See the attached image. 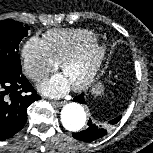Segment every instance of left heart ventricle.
<instances>
[{"mask_svg": "<svg viewBox=\"0 0 153 153\" xmlns=\"http://www.w3.org/2000/svg\"><path fill=\"white\" fill-rule=\"evenodd\" d=\"M86 72V65L79 64L69 67L64 73L71 85H74L82 80Z\"/></svg>", "mask_w": 153, "mask_h": 153, "instance_id": "b2bd125f", "label": "left heart ventricle"}]
</instances>
